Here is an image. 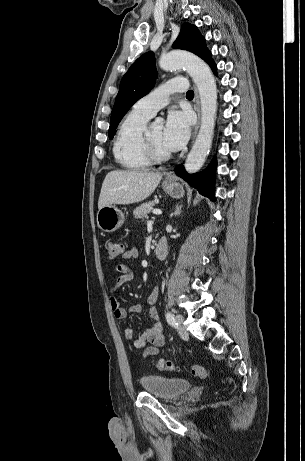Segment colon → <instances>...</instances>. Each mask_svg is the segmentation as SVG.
Returning <instances> with one entry per match:
<instances>
[{
  "label": "colon",
  "instance_id": "obj_1",
  "mask_svg": "<svg viewBox=\"0 0 305 461\" xmlns=\"http://www.w3.org/2000/svg\"><path fill=\"white\" fill-rule=\"evenodd\" d=\"M103 249L110 260H117L124 254L123 243L114 239H106L103 242ZM156 367L164 371H181L182 369L181 366L163 359L156 362ZM189 371L198 378H205L207 375L205 367L199 364L191 366Z\"/></svg>",
  "mask_w": 305,
  "mask_h": 461
}]
</instances>
